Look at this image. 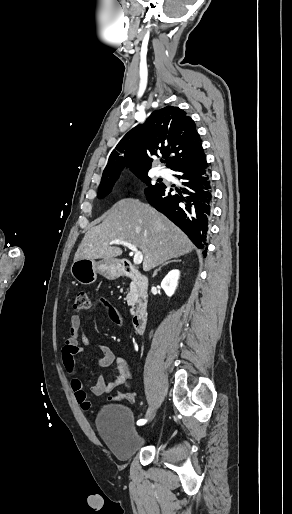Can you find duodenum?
Segmentation results:
<instances>
[{"label": "duodenum", "instance_id": "1", "mask_svg": "<svg viewBox=\"0 0 292 514\" xmlns=\"http://www.w3.org/2000/svg\"><path fill=\"white\" fill-rule=\"evenodd\" d=\"M122 275L132 280L138 295V303L133 315V329L136 333L143 331L148 319V286L149 279L131 263H127Z\"/></svg>", "mask_w": 292, "mask_h": 514}]
</instances>
